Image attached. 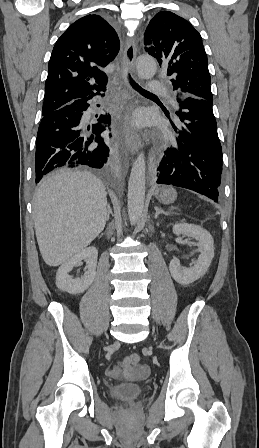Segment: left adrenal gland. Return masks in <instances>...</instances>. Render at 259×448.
Masks as SVG:
<instances>
[{
	"instance_id": "a2214340",
	"label": "left adrenal gland",
	"mask_w": 259,
	"mask_h": 448,
	"mask_svg": "<svg viewBox=\"0 0 259 448\" xmlns=\"http://www.w3.org/2000/svg\"><path fill=\"white\" fill-rule=\"evenodd\" d=\"M156 214H155V220L158 218L159 214H165V216H170L171 212H164V210H160L158 206H155Z\"/></svg>"
}]
</instances>
